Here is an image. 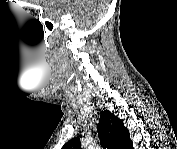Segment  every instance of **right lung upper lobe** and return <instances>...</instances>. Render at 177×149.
<instances>
[{
    "mask_svg": "<svg viewBox=\"0 0 177 149\" xmlns=\"http://www.w3.org/2000/svg\"><path fill=\"white\" fill-rule=\"evenodd\" d=\"M98 135L102 147L113 149L132 148V141L130 140L128 129L124 126L122 120L118 119L108 110L101 112ZM63 148L81 149L80 139L74 137Z\"/></svg>",
    "mask_w": 177,
    "mask_h": 149,
    "instance_id": "right-lung-upper-lobe-1",
    "label": "right lung upper lobe"
}]
</instances>
